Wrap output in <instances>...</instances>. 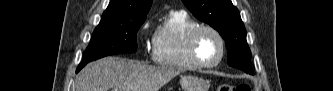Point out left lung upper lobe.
<instances>
[{
    "mask_svg": "<svg viewBox=\"0 0 333 91\" xmlns=\"http://www.w3.org/2000/svg\"><path fill=\"white\" fill-rule=\"evenodd\" d=\"M182 1L197 19L212 26L223 37L228 51V64L252 74L246 30L231 0Z\"/></svg>",
    "mask_w": 333,
    "mask_h": 91,
    "instance_id": "obj_1",
    "label": "left lung upper lobe"
}]
</instances>
